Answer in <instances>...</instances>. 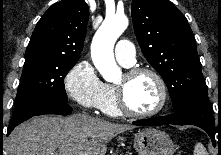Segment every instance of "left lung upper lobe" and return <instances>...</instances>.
<instances>
[{
    "label": "left lung upper lobe",
    "instance_id": "1",
    "mask_svg": "<svg viewBox=\"0 0 221 155\" xmlns=\"http://www.w3.org/2000/svg\"><path fill=\"white\" fill-rule=\"evenodd\" d=\"M131 11L138 43L166 83L173 108L207 96L196 41L185 16L169 0H132Z\"/></svg>",
    "mask_w": 221,
    "mask_h": 155
}]
</instances>
